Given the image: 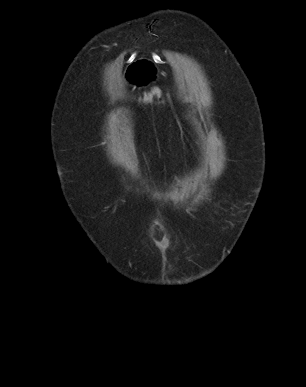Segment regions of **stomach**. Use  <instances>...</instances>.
<instances>
[{
  "label": "stomach",
  "instance_id": "obj_1",
  "mask_svg": "<svg viewBox=\"0 0 306 387\" xmlns=\"http://www.w3.org/2000/svg\"><path fill=\"white\" fill-rule=\"evenodd\" d=\"M124 73L131 87H146L147 82L160 81L159 75H152V73H160V66H152L151 59L133 61L132 66H124Z\"/></svg>",
  "mask_w": 306,
  "mask_h": 387
}]
</instances>
